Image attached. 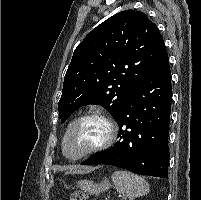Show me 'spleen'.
<instances>
[{
    "mask_svg": "<svg viewBox=\"0 0 201 200\" xmlns=\"http://www.w3.org/2000/svg\"><path fill=\"white\" fill-rule=\"evenodd\" d=\"M111 177L117 191L126 195L129 200L144 196L150 191L149 184L144 178L128 171H115Z\"/></svg>",
    "mask_w": 201,
    "mask_h": 200,
    "instance_id": "spleen-1",
    "label": "spleen"
}]
</instances>
